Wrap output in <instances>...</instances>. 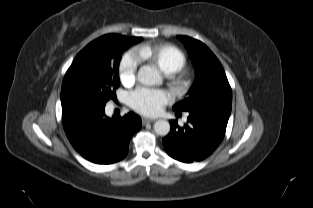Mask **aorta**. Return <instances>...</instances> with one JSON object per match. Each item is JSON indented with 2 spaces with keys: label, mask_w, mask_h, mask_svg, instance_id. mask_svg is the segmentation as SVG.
Instances as JSON below:
<instances>
[{
  "label": "aorta",
  "mask_w": 313,
  "mask_h": 208,
  "mask_svg": "<svg viewBox=\"0 0 313 208\" xmlns=\"http://www.w3.org/2000/svg\"><path fill=\"white\" fill-rule=\"evenodd\" d=\"M138 81L143 85L161 84L162 78L158 71L150 66H142L137 74ZM154 131L160 136H166L170 132V124L166 120H158L153 125Z\"/></svg>",
  "instance_id": "obj_1"
}]
</instances>
